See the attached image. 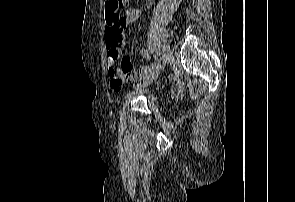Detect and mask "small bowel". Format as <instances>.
Wrapping results in <instances>:
<instances>
[{
	"label": "small bowel",
	"mask_w": 295,
	"mask_h": 202,
	"mask_svg": "<svg viewBox=\"0 0 295 202\" xmlns=\"http://www.w3.org/2000/svg\"><path fill=\"white\" fill-rule=\"evenodd\" d=\"M141 11L138 8H128L119 20L111 19L107 14V25L105 31V42L107 48V63L110 76V85L116 92L120 91L122 85L129 82H139L143 79H148L158 69V63L142 66L139 72H134V63L131 59H120V68L115 67V62L122 55V46L125 44V39L122 37L123 28L127 24H133L140 18ZM119 40L120 43H119ZM143 58H150L151 52L148 49L141 50ZM115 76V77H114ZM113 78V80H112ZM118 85V86H116Z\"/></svg>",
	"instance_id": "small-bowel-1"
}]
</instances>
